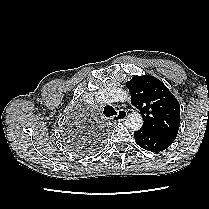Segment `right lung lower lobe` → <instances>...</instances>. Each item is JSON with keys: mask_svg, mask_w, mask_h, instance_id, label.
<instances>
[{"mask_svg": "<svg viewBox=\"0 0 209 209\" xmlns=\"http://www.w3.org/2000/svg\"><path fill=\"white\" fill-rule=\"evenodd\" d=\"M100 145V141L97 140H88L83 142H76L73 146V149L76 152L86 154L95 151Z\"/></svg>", "mask_w": 209, "mask_h": 209, "instance_id": "obj_1", "label": "right lung lower lobe"}]
</instances>
